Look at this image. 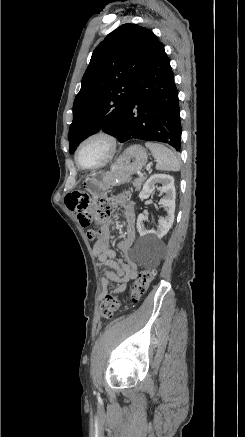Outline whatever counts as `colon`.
Returning a JSON list of instances; mask_svg holds the SVG:
<instances>
[{"label": "colon", "mask_w": 245, "mask_h": 437, "mask_svg": "<svg viewBox=\"0 0 245 437\" xmlns=\"http://www.w3.org/2000/svg\"><path fill=\"white\" fill-rule=\"evenodd\" d=\"M127 198L126 194H121L116 198H104L101 199L94 209L92 215H90V220L93 223L105 222L111 214L114 203L120 200H125ZM88 238L93 240L98 235V230L94 227L88 229ZM155 271L152 269H144L136 278L130 293L128 295V301L131 303H137L140 298L146 293L150 284L154 280ZM121 306V300L112 293H106L104 301L101 305V317L104 320L111 319L114 314L119 310Z\"/></svg>", "instance_id": "obj_1"}]
</instances>
